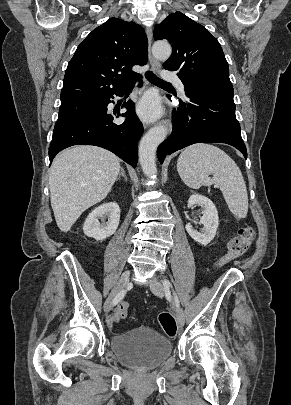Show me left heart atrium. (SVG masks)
<instances>
[{
    "label": "left heart atrium",
    "instance_id": "obj_1",
    "mask_svg": "<svg viewBox=\"0 0 291 405\" xmlns=\"http://www.w3.org/2000/svg\"><path fill=\"white\" fill-rule=\"evenodd\" d=\"M138 113L146 120H153L161 114L157 98L153 95L146 96L138 106Z\"/></svg>",
    "mask_w": 291,
    "mask_h": 405
}]
</instances>
